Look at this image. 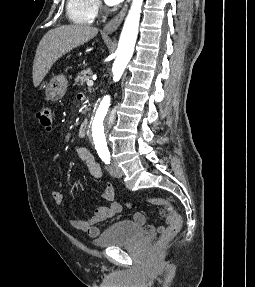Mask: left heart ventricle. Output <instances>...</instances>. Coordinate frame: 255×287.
Segmentation results:
<instances>
[{"instance_id": "1", "label": "left heart ventricle", "mask_w": 255, "mask_h": 287, "mask_svg": "<svg viewBox=\"0 0 255 287\" xmlns=\"http://www.w3.org/2000/svg\"><path fill=\"white\" fill-rule=\"evenodd\" d=\"M111 48H126V47H111Z\"/></svg>"}]
</instances>
